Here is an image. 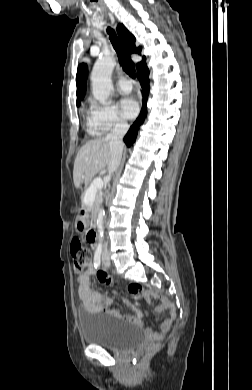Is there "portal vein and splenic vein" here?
Returning <instances> with one entry per match:
<instances>
[{
  "instance_id": "18ae733b",
  "label": "portal vein and splenic vein",
  "mask_w": 252,
  "mask_h": 390,
  "mask_svg": "<svg viewBox=\"0 0 252 390\" xmlns=\"http://www.w3.org/2000/svg\"><path fill=\"white\" fill-rule=\"evenodd\" d=\"M103 187V181L101 178H96L93 180L92 184L88 188L86 194H85V203H89L92 201V198L96 194V192Z\"/></svg>"
}]
</instances>
